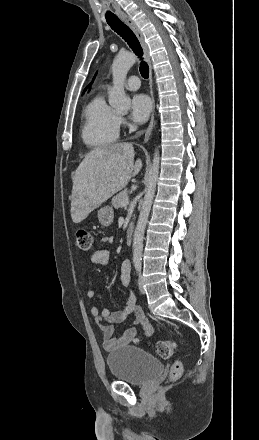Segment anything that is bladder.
I'll return each instance as SVG.
<instances>
[{"label": "bladder", "instance_id": "1", "mask_svg": "<svg viewBox=\"0 0 259 440\" xmlns=\"http://www.w3.org/2000/svg\"><path fill=\"white\" fill-rule=\"evenodd\" d=\"M112 376L119 381L144 385L157 378L164 364L151 353L131 345L115 348L107 355Z\"/></svg>", "mask_w": 259, "mask_h": 440}]
</instances>
